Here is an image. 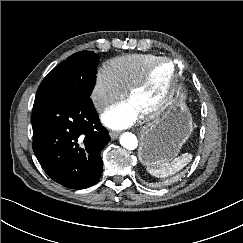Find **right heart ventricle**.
<instances>
[{"label":"right heart ventricle","instance_id":"obj_1","mask_svg":"<svg viewBox=\"0 0 243 243\" xmlns=\"http://www.w3.org/2000/svg\"><path fill=\"white\" fill-rule=\"evenodd\" d=\"M157 58L158 56L153 54L119 56L109 60L105 64V70L123 90H126Z\"/></svg>","mask_w":243,"mask_h":243}]
</instances>
